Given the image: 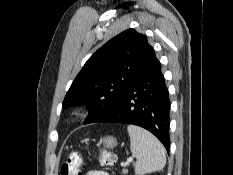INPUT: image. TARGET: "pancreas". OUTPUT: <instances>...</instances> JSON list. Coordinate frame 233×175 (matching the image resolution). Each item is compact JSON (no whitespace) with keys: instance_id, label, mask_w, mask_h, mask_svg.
Instances as JSON below:
<instances>
[{"instance_id":"obj_1","label":"pancreas","mask_w":233,"mask_h":175,"mask_svg":"<svg viewBox=\"0 0 233 175\" xmlns=\"http://www.w3.org/2000/svg\"><path fill=\"white\" fill-rule=\"evenodd\" d=\"M126 173H128V170L123 169V174H126Z\"/></svg>"}]
</instances>
